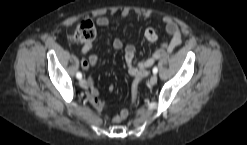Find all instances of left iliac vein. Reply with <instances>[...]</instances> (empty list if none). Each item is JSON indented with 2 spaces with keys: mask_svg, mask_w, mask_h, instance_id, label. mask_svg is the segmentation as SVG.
Segmentation results:
<instances>
[{
  "mask_svg": "<svg viewBox=\"0 0 247 145\" xmlns=\"http://www.w3.org/2000/svg\"><path fill=\"white\" fill-rule=\"evenodd\" d=\"M157 80H158L157 75L154 74V75H152L151 78L149 79L148 84H149L150 86H153V85H155V84L157 83Z\"/></svg>",
  "mask_w": 247,
  "mask_h": 145,
  "instance_id": "1",
  "label": "left iliac vein"
}]
</instances>
